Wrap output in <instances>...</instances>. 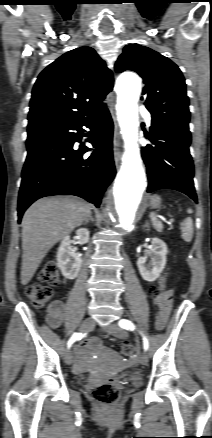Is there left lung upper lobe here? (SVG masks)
I'll use <instances>...</instances> for the list:
<instances>
[{
    "mask_svg": "<svg viewBox=\"0 0 212 438\" xmlns=\"http://www.w3.org/2000/svg\"><path fill=\"white\" fill-rule=\"evenodd\" d=\"M115 70H133L143 78L145 105L152 120L189 123L185 79L170 59L148 47L130 44L119 56Z\"/></svg>",
    "mask_w": 212,
    "mask_h": 438,
    "instance_id": "obj_1",
    "label": "left lung upper lobe"
}]
</instances>
